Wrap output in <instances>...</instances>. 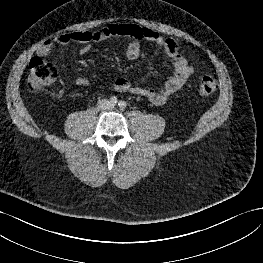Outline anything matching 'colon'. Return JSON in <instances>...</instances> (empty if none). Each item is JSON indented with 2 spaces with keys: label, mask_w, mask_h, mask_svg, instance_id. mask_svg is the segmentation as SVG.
<instances>
[{
  "label": "colon",
  "mask_w": 263,
  "mask_h": 263,
  "mask_svg": "<svg viewBox=\"0 0 263 263\" xmlns=\"http://www.w3.org/2000/svg\"><path fill=\"white\" fill-rule=\"evenodd\" d=\"M57 71L53 63L42 56L34 57L30 61L29 73L26 80L27 88L37 92L54 81ZM217 89V82L211 76H204L200 80L199 91L203 95H210Z\"/></svg>",
  "instance_id": "5ec220e1"
}]
</instances>
